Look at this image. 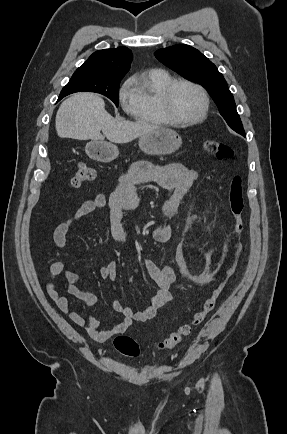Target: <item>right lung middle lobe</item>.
<instances>
[{"mask_svg":"<svg viewBox=\"0 0 287 434\" xmlns=\"http://www.w3.org/2000/svg\"><path fill=\"white\" fill-rule=\"evenodd\" d=\"M120 81L121 79H108L103 77H91L73 74L68 84L63 87L58 101L71 93L89 91L108 97L116 106H118V90Z\"/></svg>","mask_w":287,"mask_h":434,"instance_id":"1","label":"right lung middle lobe"}]
</instances>
